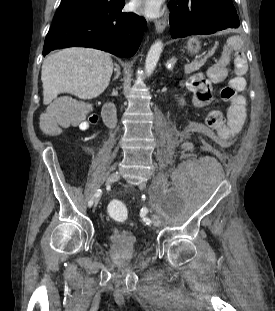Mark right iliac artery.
Segmentation results:
<instances>
[{"label": "right iliac artery", "instance_id": "obj_1", "mask_svg": "<svg viewBox=\"0 0 275 311\" xmlns=\"http://www.w3.org/2000/svg\"><path fill=\"white\" fill-rule=\"evenodd\" d=\"M101 193H102V191H101L100 189H98V190L95 192L94 197H95V198L100 197ZM94 197H93V198H94ZM93 198L88 202V206H89V207H91V206L93 205Z\"/></svg>", "mask_w": 275, "mask_h": 311}]
</instances>
